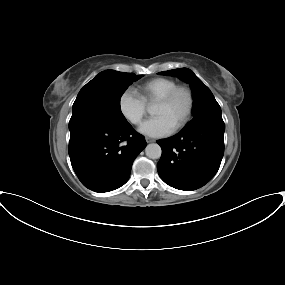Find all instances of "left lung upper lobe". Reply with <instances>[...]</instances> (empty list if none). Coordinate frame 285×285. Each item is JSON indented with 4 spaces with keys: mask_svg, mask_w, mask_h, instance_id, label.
Masks as SVG:
<instances>
[{
    "mask_svg": "<svg viewBox=\"0 0 285 285\" xmlns=\"http://www.w3.org/2000/svg\"><path fill=\"white\" fill-rule=\"evenodd\" d=\"M159 74L177 76L190 84L194 98L192 109L194 118L183 129L202 120H222L221 108L212 92L190 69L180 68L159 72Z\"/></svg>",
    "mask_w": 285,
    "mask_h": 285,
    "instance_id": "obj_1",
    "label": "left lung upper lobe"
}]
</instances>
